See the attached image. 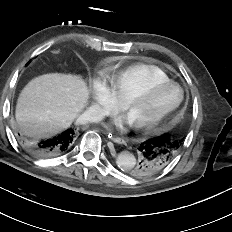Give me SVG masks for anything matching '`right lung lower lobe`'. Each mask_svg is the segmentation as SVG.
<instances>
[{
    "mask_svg": "<svg viewBox=\"0 0 232 232\" xmlns=\"http://www.w3.org/2000/svg\"><path fill=\"white\" fill-rule=\"evenodd\" d=\"M23 147L37 158H51L63 154L71 148L75 138L74 130L69 129L50 139L38 140L18 133Z\"/></svg>",
    "mask_w": 232,
    "mask_h": 232,
    "instance_id": "98d812e1",
    "label": "right lung lower lobe"
}]
</instances>
